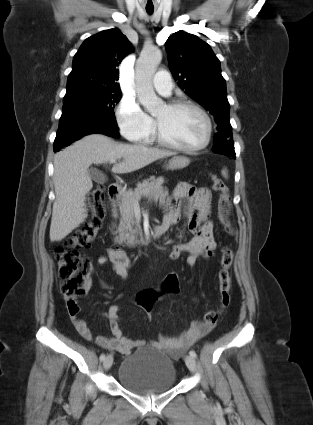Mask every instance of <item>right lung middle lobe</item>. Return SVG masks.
I'll use <instances>...</instances> for the list:
<instances>
[{
  "mask_svg": "<svg viewBox=\"0 0 313 425\" xmlns=\"http://www.w3.org/2000/svg\"><path fill=\"white\" fill-rule=\"evenodd\" d=\"M121 99L120 90H84L66 93L63 108L77 107L114 115V107Z\"/></svg>",
  "mask_w": 313,
  "mask_h": 425,
  "instance_id": "right-lung-middle-lobe-1",
  "label": "right lung middle lobe"
}]
</instances>
